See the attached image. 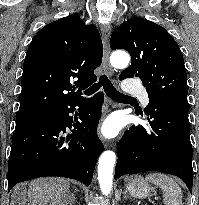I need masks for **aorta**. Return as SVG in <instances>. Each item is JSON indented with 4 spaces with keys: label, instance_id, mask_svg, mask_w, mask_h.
<instances>
[{
    "label": "aorta",
    "instance_id": "obj_1",
    "mask_svg": "<svg viewBox=\"0 0 199 205\" xmlns=\"http://www.w3.org/2000/svg\"><path fill=\"white\" fill-rule=\"evenodd\" d=\"M130 57L124 51H115L110 57V63L116 68H126ZM116 161V155L113 151H105L101 154L98 163V181L101 192L108 196L112 190L113 168Z\"/></svg>",
    "mask_w": 199,
    "mask_h": 205
}]
</instances>
